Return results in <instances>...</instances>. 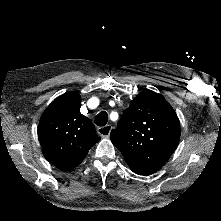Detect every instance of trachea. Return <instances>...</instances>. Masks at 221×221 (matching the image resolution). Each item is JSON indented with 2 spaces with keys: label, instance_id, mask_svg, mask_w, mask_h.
I'll list each match as a JSON object with an SVG mask.
<instances>
[{
  "label": "trachea",
  "instance_id": "trachea-1",
  "mask_svg": "<svg viewBox=\"0 0 221 221\" xmlns=\"http://www.w3.org/2000/svg\"><path fill=\"white\" fill-rule=\"evenodd\" d=\"M108 122V114L104 111L100 112L96 117H95V124L103 127L107 124Z\"/></svg>",
  "mask_w": 221,
  "mask_h": 221
}]
</instances>
